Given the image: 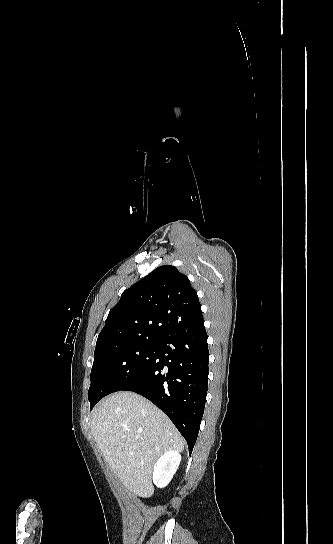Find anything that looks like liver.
I'll return each mask as SVG.
<instances>
[{
	"label": "liver",
	"mask_w": 333,
	"mask_h": 544,
	"mask_svg": "<svg viewBox=\"0 0 333 544\" xmlns=\"http://www.w3.org/2000/svg\"><path fill=\"white\" fill-rule=\"evenodd\" d=\"M97 446L122 484L140 497L154 492L152 471L165 452L183 451L184 440L168 417L132 392L106 398L93 413Z\"/></svg>",
	"instance_id": "6515ba94"
}]
</instances>
